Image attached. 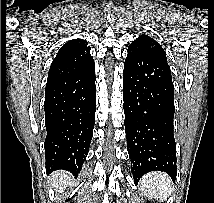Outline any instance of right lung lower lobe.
<instances>
[{
	"mask_svg": "<svg viewBox=\"0 0 214 203\" xmlns=\"http://www.w3.org/2000/svg\"><path fill=\"white\" fill-rule=\"evenodd\" d=\"M94 62L48 83L45 90L46 171L80 172L88 154L96 111Z\"/></svg>",
	"mask_w": 214,
	"mask_h": 203,
	"instance_id": "obj_1",
	"label": "right lung lower lobe"
}]
</instances>
